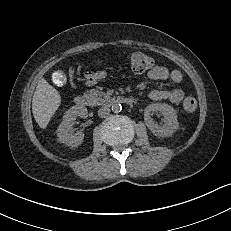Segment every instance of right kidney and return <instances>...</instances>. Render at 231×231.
<instances>
[{"instance_id": "ca27d5eb", "label": "right kidney", "mask_w": 231, "mask_h": 231, "mask_svg": "<svg viewBox=\"0 0 231 231\" xmlns=\"http://www.w3.org/2000/svg\"><path fill=\"white\" fill-rule=\"evenodd\" d=\"M87 113V108L84 106H73L66 111L65 115L63 116V121L57 129V137L61 143L71 147H78L81 145L84 139V134L82 132L72 134L71 131L76 118L78 116L81 118H86Z\"/></svg>"}]
</instances>
